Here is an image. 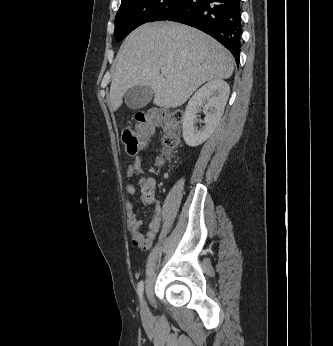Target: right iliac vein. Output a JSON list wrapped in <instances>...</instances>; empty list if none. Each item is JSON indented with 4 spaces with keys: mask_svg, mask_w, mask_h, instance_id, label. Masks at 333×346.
I'll list each match as a JSON object with an SVG mask.
<instances>
[{
    "mask_svg": "<svg viewBox=\"0 0 333 346\" xmlns=\"http://www.w3.org/2000/svg\"><path fill=\"white\" fill-rule=\"evenodd\" d=\"M141 316H142V320L144 324L148 325L151 320V312L148 307V304L146 303L144 299L141 302Z\"/></svg>",
    "mask_w": 333,
    "mask_h": 346,
    "instance_id": "1",
    "label": "right iliac vein"
}]
</instances>
